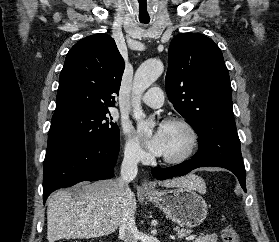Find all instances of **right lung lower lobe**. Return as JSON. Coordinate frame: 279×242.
Listing matches in <instances>:
<instances>
[{"label": "right lung lower lobe", "mask_w": 279, "mask_h": 242, "mask_svg": "<svg viewBox=\"0 0 279 242\" xmlns=\"http://www.w3.org/2000/svg\"><path fill=\"white\" fill-rule=\"evenodd\" d=\"M119 153V142L85 146L45 158L43 165V201L55 190L81 181L109 179Z\"/></svg>", "instance_id": "obj_1"}]
</instances>
